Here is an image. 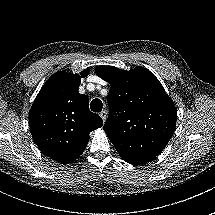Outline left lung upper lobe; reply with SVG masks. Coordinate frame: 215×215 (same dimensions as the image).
<instances>
[{"label":"left lung upper lobe","instance_id":"left-lung-upper-lobe-1","mask_svg":"<svg viewBox=\"0 0 215 215\" xmlns=\"http://www.w3.org/2000/svg\"><path fill=\"white\" fill-rule=\"evenodd\" d=\"M96 74L107 81L109 115L104 130L122 159L151 161L172 137L177 110L160 81L148 69L124 71L100 65Z\"/></svg>","mask_w":215,"mask_h":215}]
</instances>
